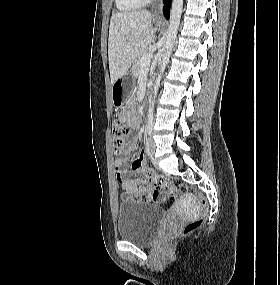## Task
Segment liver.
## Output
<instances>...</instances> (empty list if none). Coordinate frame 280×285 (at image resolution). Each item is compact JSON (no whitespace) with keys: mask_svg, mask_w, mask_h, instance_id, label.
<instances>
[{"mask_svg":"<svg viewBox=\"0 0 280 285\" xmlns=\"http://www.w3.org/2000/svg\"><path fill=\"white\" fill-rule=\"evenodd\" d=\"M152 15L146 10L112 15L109 27L108 58L111 83L131 67L139 55L154 41Z\"/></svg>","mask_w":280,"mask_h":285,"instance_id":"liver-1","label":"liver"}]
</instances>
